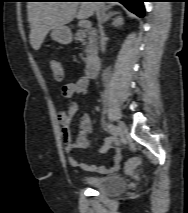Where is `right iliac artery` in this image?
<instances>
[{"label":"right iliac artery","mask_w":188,"mask_h":213,"mask_svg":"<svg viewBox=\"0 0 188 213\" xmlns=\"http://www.w3.org/2000/svg\"><path fill=\"white\" fill-rule=\"evenodd\" d=\"M106 128L114 137L118 136V128L116 126L107 124Z\"/></svg>","instance_id":"right-iliac-artery-1"}]
</instances>
